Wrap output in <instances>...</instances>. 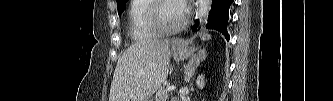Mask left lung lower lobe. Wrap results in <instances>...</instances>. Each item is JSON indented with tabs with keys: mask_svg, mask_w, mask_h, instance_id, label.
Masks as SVG:
<instances>
[{
	"mask_svg": "<svg viewBox=\"0 0 333 101\" xmlns=\"http://www.w3.org/2000/svg\"><path fill=\"white\" fill-rule=\"evenodd\" d=\"M234 0H213L211 11L209 13L208 23L206 28L215 29L221 32L227 40H229V34L227 32V24L229 20V7ZM198 22L196 21L193 26V31L196 30Z\"/></svg>",
	"mask_w": 333,
	"mask_h": 101,
	"instance_id": "obj_1",
	"label": "left lung lower lobe"
}]
</instances>
